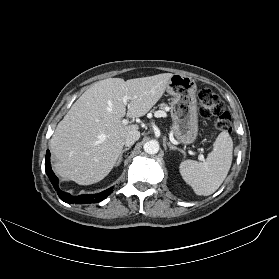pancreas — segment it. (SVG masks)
I'll list each match as a JSON object with an SVG mask.
<instances>
[{
    "instance_id": "pancreas-1",
    "label": "pancreas",
    "mask_w": 279,
    "mask_h": 279,
    "mask_svg": "<svg viewBox=\"0 0 279 279\" xmlns=\"http://www.w3.org/2000/svg\"><path fill=\"white\" fill-rule=\"evenodd\" d=\"M166 108H167V105L165 103H162V104L159 105V109L161 111H164Z\"/></svg>"
}]
</instances>
